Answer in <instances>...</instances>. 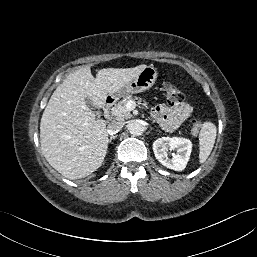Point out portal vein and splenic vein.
<instances>
[{
	"label": "portal vein and splenic vein",
	"mask_w": 257,
	"mask_h": 257,
	"mask_svg": "<svg viewBox=\"0 0 257 257\" xmlns=\"http://www.w3.org/2000/svg\"><path fill=\"white\" fill-rule=\"evenodd\" d=\"M134 107H135V102H132V101L128 102L126 105V108L128 110H132V109H134Z\"/></svg>",
	"instance_id": "portal-vein-and-splenic-vein-1"
}]
</instances>
